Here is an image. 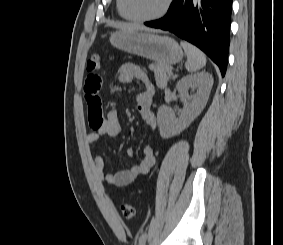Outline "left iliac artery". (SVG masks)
<instances>
[{
  "label": "left iliac artery",
  "mask_w": 283,
  "mask_h": 245,
  "mask_svg": "<svg viewBox=\"0 0 283 245\" xmlns=\"http://www.w3.org/2000/svg\"><path fill=\"white\" fill-rule=\"evenodd\" d=\"M146 239H147V234L143 233L139 238V245H144Z\"/></svg>",
  "instance_id": "obj_1"
}]
</instances>
